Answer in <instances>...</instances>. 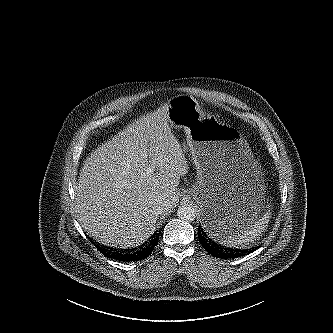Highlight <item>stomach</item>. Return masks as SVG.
I'll use <instances>...</instances> for the list:
<instances>
[{"label":"stomach","mask_w":333,"mask_h":333,"mask_svg":"<svg viewBox=\"0 0 333 333\" xmlns=\"http://www.w3.org/2000/svg\"><path fill=\"white\" fill-rule=\"evenodd\" d=\"M168 121L186 133L197 169L191 193L211 236L222 243L260 223L270 208L261 166L244 136L189 95L169 100Z\"/></svg>","instance_id":"stomach-1"}]
</instances>
